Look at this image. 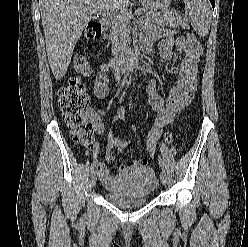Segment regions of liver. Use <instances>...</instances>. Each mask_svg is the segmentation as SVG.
I'll use <instances>...</instances> for the list:
<instances>
[{"instance_id":"liver-1","label":"liver","mask_w":248,"mask_h":247,"mask_svg":"<svg viewBox=\"0 0 248 247\" xmlns=\"http://www.w3.org/2000/svg\"><path fill=\"white\" fill-rule=\"evenodd\" d=\"M129 0H40L46 52L56 80L66 73L74 47L93 15L125 11Z\"/></svg>"}]
</instances>
